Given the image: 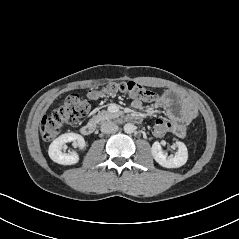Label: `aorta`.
Here are the masks:
<instances>
[{"mask_svg": "<svg viewBox=\"0 0 239 239\" xmlns=\"http://www.w3.org/2000/svg\"><path fill=\"white\" fill-rule=\"evenodd\" d=\"M135 131V126L131 123H127L124 125V132L127 134H131Z\"/></svg>", "mask_w": 239, "mask_h": 239, "instance_id": "obj_1", "label": "aorta"}]
</instances>
